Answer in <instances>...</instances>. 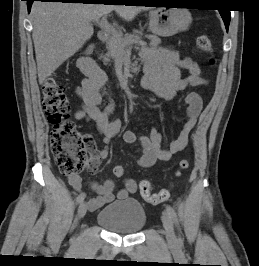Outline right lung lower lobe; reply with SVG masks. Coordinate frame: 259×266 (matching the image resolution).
<instances>
[{"label": "right lung lower lobe", "mask_w": 259, "mask_h": 266, "mask_svg": "<svg viewBox=\"0 0 259 266\" xmlns=\"http://www.w3.org/2000/svg\"><path fill=\"white\" fill-rule=\"evenodd\" d=\"M27 1V7H28V12L31 10L32 3L34 1H42V2H62V3H68V2H78V3H84V4H100V3H120V2H114L117 0H25Z\"/></svg>", "instance_id": "right-lung-lower-lobe-1"}]
</instances>
